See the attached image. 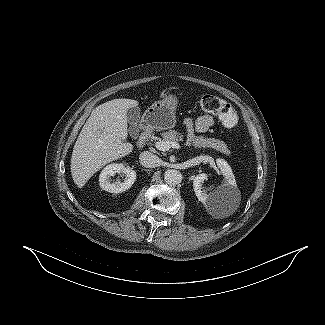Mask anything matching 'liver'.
I'll list each match as a JSON object with an SVG mask.
<instances>
[{"mask_svg": "<svg viewBox=\"0 0 325 325\" xmlns=\"http://www.w3.org/2000/svg\"><path fill=\"white\" fill-rule=\"evenodd\" d=\"M136 106V100L121 98L93 109L71 156V174L79 188L107 163L133 151V145L125 140L128 135L127 111Z\"/></svg>", "mask_w": 325, "mask_h": 325, "instance_id": "obj_1", "label": "liver"}]
</instances>
